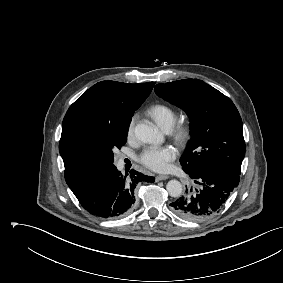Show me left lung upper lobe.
Segmentation results:
<instances>
[{
    "mask_svg": "<svg viewBox=\"0 0 283 283\" xmlns=\"http://www.w3.org/2000/svg\"><path fill=\"white\" fill-rule=\"evenodd\" d=\"M155 93L189 116L192 139L180 158L183 170L221 169L240 175L245 141L240 114L230 98L198 79L157 84Z\"/></svg>",
    "mask_w": 283,
    "mask_h": 283,
    "instance_id": "5c2ea615",
    "label": "left lung upper lobe"
}]
</instances>
